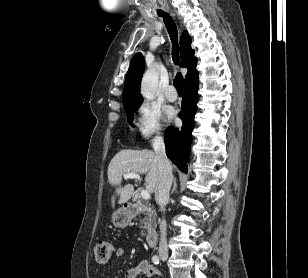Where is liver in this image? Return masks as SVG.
Returning <instances> with one entry per match:
<instances>
[{"mask_svg": "<svg viewBox=\"0 0 308 278\" xmlns=\"http://www.w3.org/2000/svg\"><path fill=\"white\" fill-rule=\"evenodd\" d=\"M129 172L145 174L146 190L155 192L160 175L156 153L147 149H123L112 158L108 166V180L112 186H118L119 204L129 201L134 192L133 184L121 186L122 175Z\"/></svg>", "mask_w": 308, "mask_h": 278, "instance_id": "liver-1", "label": "liver"}]
</instances>
